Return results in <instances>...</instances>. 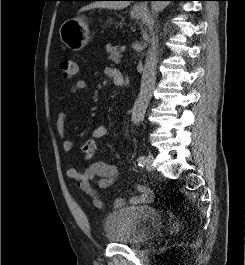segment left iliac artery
<instances>
[{
    "instance_id": "left-iliac-artery-1",
    "label": "left iliac artery",
    "mask_w": 245,
    "mask_h": 265,
    "mask_svg": "<svg viewBox=\"0 0 245 265\" xmlns=\"http://www.w3.org/2000/svg\"><path fill=\"white\" fill-rule=\"evenodd\" d=\"M137 162H138V165L139 166H143L145 164V156H140L138 159H137Z\"/></svg>"
}]
</instances>
